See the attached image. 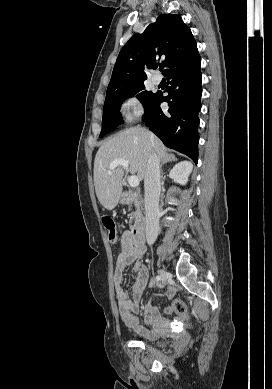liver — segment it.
<instances>
[{"mask_svg":"<svg viewBox=\"0 0 272 389\" xmlns=\"http://www.w3.org/2000/svg\"><path fill=\"white\" fill-rule=\"evenodd\" d=\"M161 159L168 156L162 141L142 127H130L103 143L94 161V186L97 198L107 210L116 207L122 194V179L125 169L116 167L109 175V166L115 159L129 163L131 174L137 173L139 180L145 177L147 162L152 152Z\"/></svg>","mask_w":272,"mask_h":389,"instance_id":"6515ba94","label":"liver"}]
</instances>
